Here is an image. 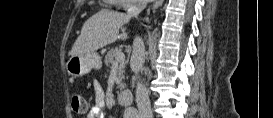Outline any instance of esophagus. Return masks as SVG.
I'll return each mask as SVG.
<instances>
[{
    "instance_id": "obj_1",
    "label": "esophagus",
    "mask_w": 273,
    "mask_h": 118,
    "mask_svg": "<svg viewBox=\"0 0 273 118\" xmlns=\"http://www.w3.org/2000/svg\"><path fill=\"white\" fill-rule=\"evenodd\" d=\"M163 3V0L156 1L152 6V11L154 12L158 7H160Z\"/></svg>"
}]
</instances>
